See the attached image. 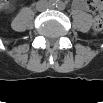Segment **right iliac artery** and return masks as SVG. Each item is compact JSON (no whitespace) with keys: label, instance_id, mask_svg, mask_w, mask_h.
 Wrapping results in <instances>:
<instances>
[{"label":"right iliac artery","instance_id":"obj_1","mask_svg":"<svg viewBox=\"0 0 103 103\" xmlns=\"http://www.w3.org/2000/svg\"><path fill=\"white\" fill-rule=\"evenodd\" d=\"M50 3H51V5H57V1L56 0H51Z\"/></svg>","mask_w":103,"mask_h":103}]
</instances>
